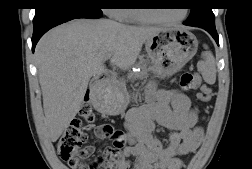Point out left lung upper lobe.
Returning a JSON list of instances; mask_svg holds the SVG:
<instances>
[{
    "label": "left lung upper lobe",
    "instance_id": "obj_1",
    "mask_svg": "<svg viewBox=\"0 0 252 169\" xmlns=\"http://www.w3.org/2000/svg\"><path fill=\"white\" fill-rule=\"evenodd\" d=\"M194 7L191 8V12L185 25L197 26V27H215V16L212 12V8L209 7L211 0H193Z\"/></svg>",
    "mask_w": 252,
    "mask_h": 169
}]
</instances>
